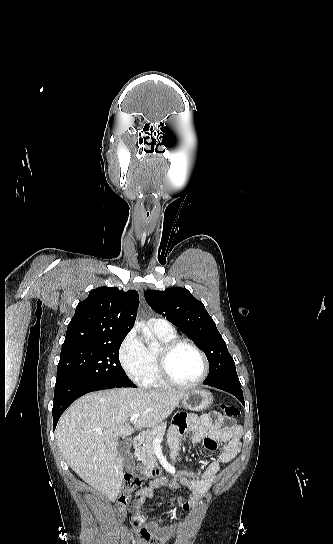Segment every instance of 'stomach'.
Here are the masks:
<instances>
[{
  "mask_svg": "<svg viewBox=\"0 0 333 544\" xmlns=\"http://www.w3.org/2000/svg\"><path fill=\"white\" fill-rule=\"evenodd\" d=\"M213 397L206 390H191L182 398V404L189 411H203L211 406Z\"/></svg>",
  "mask_w": 333,
  "mask_h": 544,
  "instance_id": "0dacf381",
  "label": "stomach"
}]
</instances>
